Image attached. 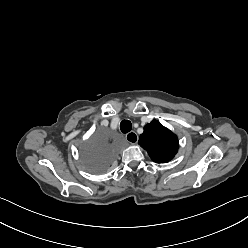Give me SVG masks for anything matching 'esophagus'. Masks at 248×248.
Returning <instances> with one entry per match:
<instances>
[{
	"label": "esophagus",
	"instance_id": "1",
	"mask_svg": "<svg viewBox=\"0 0 248 248\" xmlns=\"http://www.w3.org/2000/svg\"><path fill=\"white\" fill-rule=\"evenodd\" d=\"M125 138L130 144H136L138 141V136L134 131L127 133Z\"/></svg>",
	"mask_w": 248,
	"mask_h": 248
}]
</instances>
